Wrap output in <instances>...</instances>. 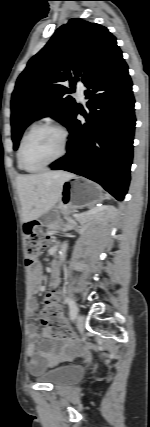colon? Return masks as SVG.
Masks as SVG:
<instances>
[{
	"label": "colon",
	"mask_w": 150,
	"mask_h": 427,
	"mask_svg": "<svg viewBox=\"0 0 150 427\" xmlns=\"http://www.w3.org/2000/svg\"><path fill=\"white\" fill-rule=\"evenodd\" d=\"M24 233L27 240L26 263L27 265H34L48 238L37 221L26 223ZM40 319L49 336L54 338L70 337L54 291L47 294L44 306L40 311Z\"/></svg>",
	"instance_id": "colon-1"
}]
</instances>
